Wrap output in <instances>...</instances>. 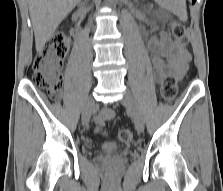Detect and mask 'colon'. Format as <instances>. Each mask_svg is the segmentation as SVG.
Wrapping results in <instances>:
<instances>
[{"label":"colon","instance_id":"obj_1","mask_svg":"<svg viewBox=\"0 0 223 191\" xmlns=\"http://www.w3.org/2000/svg\"><path fill=\"white\" fill-rule=\"evenodd\" d=\"M171 32L177 42L185 46L187 44L186 28L183 24L173 22ZM68 52V40L65 36L59 35L51 40L44 50L35 57L33 61L34 85L44 90L51 98L58 99L62 94V75L61 69L65 56ZM177 93V81L174 76L164 79L161 86V95L166 102H171ZM119 140L128 144L133 140V134L128 129L119 131Z\"/></svg>","mask_w":223,"mask_h":191}]
</instances>
